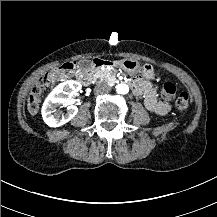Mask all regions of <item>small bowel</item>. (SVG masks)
<instances>
[{
  "mask_svg": "<svg viewBox=\"0 0 217 217\" xmlns=\"http://www.w3.org/2000/svg\"><path fill=\"white\" fill-rule=\"evenodd\" d=\"M140 85L136 90L133 91L135 95H144V104L146 108L158 115H165L170 110V104L167 100H158L156 91L152 87L150 82L138 80Z\"/></svg>",
  "mask_w": 217,
  "mask_h": 217,
  "instance_id": "obj_1",
  "label": "small bowel"
}]
</instances>
